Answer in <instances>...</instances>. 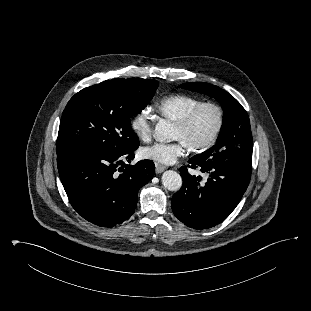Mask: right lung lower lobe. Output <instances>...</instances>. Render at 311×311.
<instances>
[{
    "instance_id": "right-lung-lower-lobe-1",
    "label": "right lung lower lobe",
    "mask_w": 311,
    "mask_h": 311,
    "mask_svg": "<svg viewBox=\"0 0 311 311\" xmlns=\"http://www.w3.org/2000/svg\"><path fill=\"white\" fill-rule=\"evenodd\" d=\"M133 152L123 155L87 151L57 154L61 182L80 216L100 227L116 226L132 216L138 190L155 174L151 160L126 165L123 159L131 162Z\"/></svg>"
}]
</instances>
